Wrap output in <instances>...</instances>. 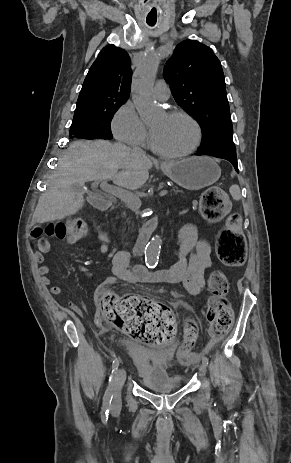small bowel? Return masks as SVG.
<instances>
[{
    "label": "small bowel",
    "mask_w": 291,
    "mask_h": 463,
    "mask_svg": "<svg viewBox=\"0 0 291 463\" xmlns=\"http://www.w3.org/2000/svg\"><path fill=\"white\" fill-rule=\"evenodd\" d=\"M36 241L38 252L36 261L40 264L39 274L44 285H49L51 280L48 276L49 266L43 264L46 255L50 252L51 246L49 240L43 235L33 234ZM99 248L102 254H111L109 250V238L105 233H100ZM69 243L76 240L67 239ZM211 247L209 243L198 237L197 229L193 225H185L179 233V245L176 250L178 261L170 268L159 271H153L150 274L144 272L146 267L143 265H131L130 254L126 251H118L113 254L112 258V275L109 276L101 285L106 288L116 284L119 281L126 282H148V283H182L186 291L191 295L202 294L206 287L205 272L211 267L210 258ZM80 270L89 274V270L84 266H79ZM53 295L63 294V288L57 285L50 287ZM71 309L78 315L87 314V307L84 303H70ZM96 325L101 324L99 314L94 317Z\"/></svg>",
    "instance_id": "c3829d8e"
}]
</instances>
